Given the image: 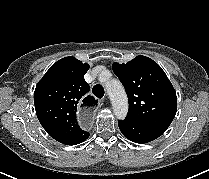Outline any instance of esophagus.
Instances as JSON below:
<instances>
[{
	"instance_id": "obj_1",
	"label": "esophagus",
	"mask_w": 209,
	"mask_h": 179,
	"mask_svg": "<svg viewBox=\"0 0 209 179\" xmlns=\"http://www.w3.org/2000/svg\"><path fill=\"white\" fill-rule=\"evenodd\" d=\"M97 99L94 95H85L77 109V122L84 128H89L94 123V111Z\"/></svg>"
}]
</instances>
